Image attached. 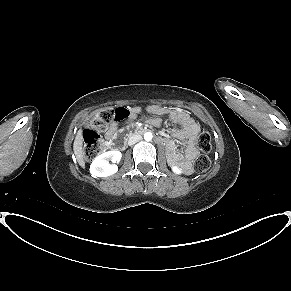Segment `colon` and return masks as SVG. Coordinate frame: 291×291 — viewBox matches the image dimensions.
Listing matches in <instances>:
<instances>
[{
    "label": "colon",
    "mask_w": 291,
    "mask_h": 291,
    "mask_svg": "<svg viewBox=\"0 0 291 291\" xmlns=\"http://www.w3.org/2000/svg\"><path fill=\"white\" fill-rule=\"evenodd\" d=\"M128 116V109L117 108L106 109L92 117L83 133L84 158L87 161L93 160L106 149V144L100 134L108 130L114 121L123 120ZM195 145L200 151L194 163L195 169L198 172L206 171L211 165L208 156V153L212 148L209 133L206 131L200 132L196 138Z\"/></svg>",
    "instance_id": "obj_1"
}]
</instances>
